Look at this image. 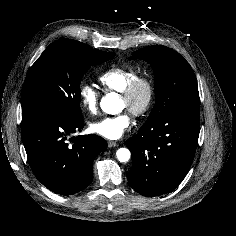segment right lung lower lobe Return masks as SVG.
Instances as JSON below:
<instances>
[{
  "mask_svg": "<svg viewBox=\"0 0 236 236\" xmlns=\"http://www.w3.org/2000/svg\"><path fill=\"white\" fill-rule=\"evenodd\" d=\"M22 141L30 167L49 190L72 195L92 181V163L107 148L95 134L68 137L84 127L82 116L37 112L22 117Z\"/></svg>",
  "mask_w": 236,
  "mask_h": 236,
  "instance_id": "98d812e1",
  "label": "right lung lower lobe"
}]
</instances>
